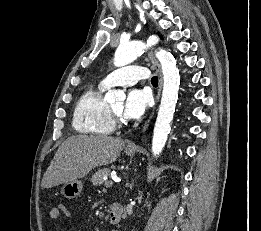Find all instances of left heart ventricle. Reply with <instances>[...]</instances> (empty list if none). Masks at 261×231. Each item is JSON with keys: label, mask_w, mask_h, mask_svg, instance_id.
I'll return each instance as SVG.
<instances>
[{"label": "left heart ventricle", "mask_w": 261, "mask_h": 231, "mask_svg": "<svg viewBox=\"0 0 261 231\" xmlns=\"http://www.w3.org/2000/svg\"><path fill=\"white\" fill-rule=\"evenodd\" d=\"M111 108H112L115 112H117V113H119V114L122 115L123 102H117V103H115V104H112V105H111Z\"/></svg>", "instance_id": "1"}]
</instances>
